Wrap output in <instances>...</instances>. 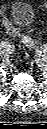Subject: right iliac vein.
Instances as JSON below:
<instances>
[{
	"label": "right iliac vein",
	"instance_id": "obj_1",
	"mask_svg": "<svg viewBox=\"0 0 47 129\" xmlns=\"http://www.w3.org/2000/svg\"><path fill=\"white\" fill-rule=\"evenodd\" d=\"M9 49L8 46L4 45V46H0V52L4 53L5 51H7Z\"/></svg>",
	"mask_w": 47,
	"mask_h": 129
}]
</instances>
